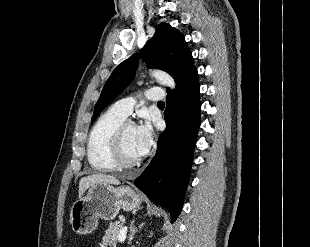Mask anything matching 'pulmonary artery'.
<instances>
[{"mask_svg":"<svg viewBox=\"0 0 310 247\" xmlns=\"http://www.w3.org/2000/svg\"><path fill=\"white\" fill-rule=\"evenodd\" d=\"M146 98L151 101H161L164 98L162 88L152 87L147 90ZM136 98L133 96L123 98L117 101L113 107L123 116L127 117L131 114Z\"/></svg>","mask_w":310,"mask_h":247,"instance_id":"e3ab8cb5","label":"pulmonary artery"}]
</instances>
